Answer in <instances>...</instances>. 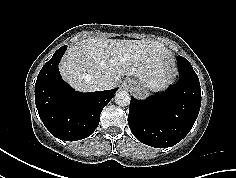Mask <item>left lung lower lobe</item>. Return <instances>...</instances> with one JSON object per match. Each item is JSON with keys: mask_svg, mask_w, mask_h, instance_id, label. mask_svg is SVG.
I'll return each mask as SVG.
<instances>
[{"mask_svg": "<svg viewBox=\"0 0 236 178\" xmlns=\"http://www.w3.org/2000/svg\"><path fill=\"white\" fill-rule=\"evenodd\" d=\"M179 81L167 91L138 101L131 97L128 124L142 143L167 148L191 130L200 110V82L191 64L177 57Z\"/></svg>", "mask_w": 236, "mask_h": 178, "instance_id": "0a47b994", "label": "left lung lower lobe"}]
</instances>
